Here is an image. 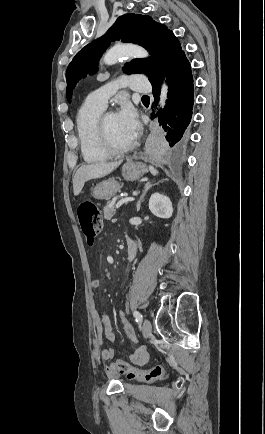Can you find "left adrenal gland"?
I'll use <instances>...</instances> for the list:
<instances>
[{
    "mask_svg": "<svg viewBox=\"0 0 265 434\" xmlns=\"http://www.w3.org/2000/svg\"><path fill=\"white\" fill-rule=\"evenodd\" d=\"M152 186H156V184H152V182H146L145 186H144V192L142 194V196H140V200H138L137 202V212H139L140 210V206H141V202H143L145 196H146V192L147 190H149V188H152Z\"/></svg>",
    "mask_w": 265,
    "mask_h": 434,
    "instance_id": "obj_1",
    "label": "left adrenal gland"
}]
</instances>
